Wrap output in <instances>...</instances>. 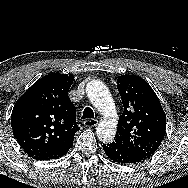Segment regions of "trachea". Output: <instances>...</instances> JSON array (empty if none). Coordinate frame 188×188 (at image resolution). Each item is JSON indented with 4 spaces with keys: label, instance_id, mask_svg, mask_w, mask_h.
<instances>
[{
    "label": "trachea",
    "instance_id": "obj_1",
    "mask_svg": "<svg viewBox=\"0 0 188 188\" xmlns=\"http://www.w3.org/2000/svg\"><path fill=\"white\" fill-rule=\"evenodd\" d=\"M94 117V112L90 107H86L83 111L82 119H89Z\"/></svg>",
    "mask_w": 188,
    "mask_h": 188
}]
</instances>
